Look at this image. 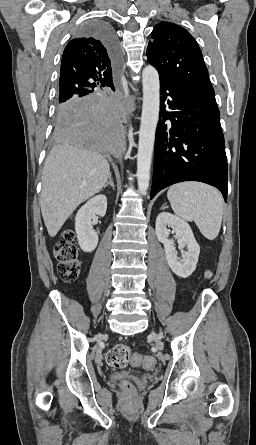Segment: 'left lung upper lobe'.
<instances>
[{
	"mask_svg": "<svg viewBox=\"0 0 256 445\" xmlns=\"http://www.w3.org/2000/svg\"><path fill=\"white\" fill-rule=\"evenodd\" d=\"M148 44V62L156 67L160 78L215 96L202 52L195 39L182 27L161 22L152 31Z\"/></svg>",
	"mask_w": 256,
	"mask_h": 445,
	"instance_id": "left-lung-upper-lobe-1",
	"label": "left lung upper lobe"
}]
</instances>
